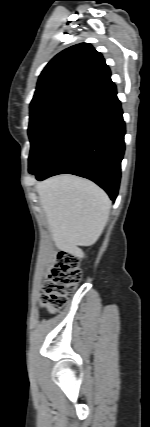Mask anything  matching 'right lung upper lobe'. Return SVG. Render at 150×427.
<instances>
[{
  "instance_id": "1",
  "label": "right lung upper lobe",
  "mask_w": 150,
  "mask_h": 427,
  "mask_svg": "<svg viewBox=\"0 0 150 427\" xmlns=\"http://www.w3.org/2000/svg\"><path fill=\"white\" fill-rule=\"evenodd\" d=\"M114 87L101 53L88 43L77 44L57 54L46 65L30 113L54 105L82 108Z\"/></svg>"
}]
</instances>
